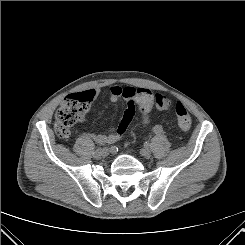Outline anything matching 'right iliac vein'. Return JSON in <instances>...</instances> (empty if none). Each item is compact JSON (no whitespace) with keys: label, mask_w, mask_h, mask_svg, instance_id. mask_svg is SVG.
<instances>
[{"label":"right iliac vein","mask_w":245,"mask_h":245,"mask_svg":"<svg viewBox=\"0 0 245 245\" xmlns=\"http://www.w3.org/2000/svg\"><path fill=\"white\" fill-rule=\"evenodd\" d=\"M103 149H100L98 152H97V155L95 156L96 158H99V157H106L108 154H109V150H108V153H103L102 152Z\"/></svg>","instance_id":"right-iliac-vein-1"}]
</instances>
